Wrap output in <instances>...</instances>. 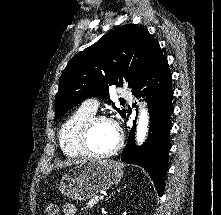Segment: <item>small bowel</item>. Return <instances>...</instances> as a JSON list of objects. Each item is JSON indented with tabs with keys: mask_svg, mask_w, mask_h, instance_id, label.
<instances>
[{
	"mask_svg": "<svg viewBox=\"0 0 221 215\" xmlns=\"http://www.w3.org/2000/svg\"><path fill=\"white\" fill-rule=\"evenodd\" d=\"M62 211L65 215H75L76 207L72 203H64L62 205Z\"/></svg>",
	"mask_w": 221,
	"mask_h": 215,
	"instance_id": "1",
	"label": "small bowel"
}]
</instances>
